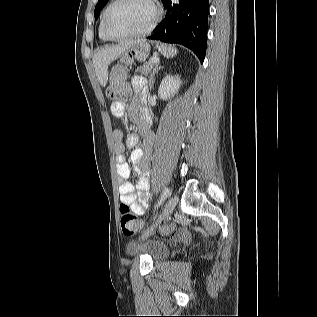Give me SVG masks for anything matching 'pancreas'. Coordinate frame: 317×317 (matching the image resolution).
<instances>
[{"label":"pancreas","instance_id":"cf45deb5","mask_svg":"<svg viewBox=\"0 0 317 317\" xmlns=\"http://www.w3.org/2000/svg\"><path fill=\"white\" fill-rule=\"evenodd\" d=\"M155 64L151 61H144L143 65L137 69V72H140L141 75L148 76L149 73L154 69Z\"/></svg>","mask_w":317,"mask_h":317}]
</instances>
